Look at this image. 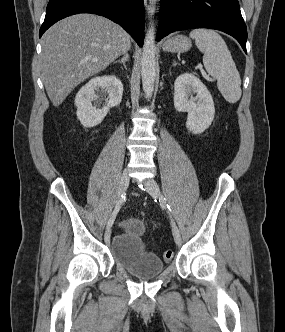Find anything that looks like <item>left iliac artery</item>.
<instances>
[{"mask_svg": "<svg viewBox=\"0 0 285 332\" xmlns=\"http://www.w3.org/2000/svg\"><path fill=\"white\" fill-rule=\"evenodd\" d=\"M159 200H160L161 204L164 205L168 209V211H171L170 206L166 203V199L164 197L161 196Z\"/></svg>", "mask_w": 285, "mask_h": 332, "instance_id": "obj_1", "label": "left iliac artery"}]
</instances>
